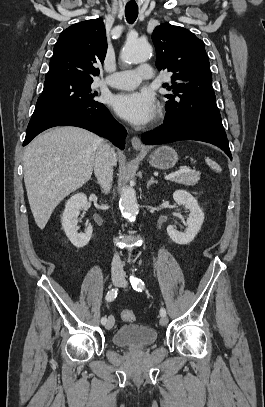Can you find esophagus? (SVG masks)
Returning a JSON list of instances; mask_svg holds the SVG:
<instances>
[{
	"label": "esophagus",
	"instance_id": "obj_1",
	"mask_svg": "<svg viewBox=\"0 0 265 407\" xmlns=\"http://www.w3.org/2000/svg\"><path fill=\"white\" fill-rule=\"evenodd\" d=\"M131 144H132V147H133L135 150H142V149H143V144H142L140 138L137 137V136H134V137L131 139Z\"/></svg>",
	"mask_w": 265,
	"mask_h": 407
}]
</instances>
